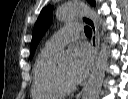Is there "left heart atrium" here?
<instances>
[{"mask_svg": "<svg viewBox=\"0 0 128 99\" xmlns=\"http://www.w3.org/2000/svg\"><path fill=\"white\" fill-rule=\"evenodd\" d=\"M91 63L90 51L86 48L76 49L70 68V77L74 83L81 82L88 74Z\"/></svg>", "mask_w": 128, "mask_h": 99, "instance_id": "obj_1", "label": "left heart atrium"}]
</instances>
